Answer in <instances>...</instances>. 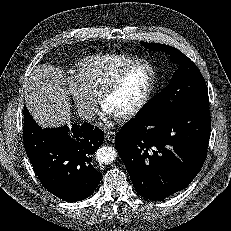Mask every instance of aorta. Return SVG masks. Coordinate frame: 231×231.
Masks as SVG:
<instances>
[{"label": "aorta", "instance_id": "obj_1", "mask_svg": "<svg viewBox=\"0 0 231 231\" xmlns=\"http://www.w3.org/2000/svg\"><path fill=\"white\" fill-rule=\"evenodd\" d=\"M117 157V152L113 147L103 146L96 151V159L99 163L110 164Z\"/></svg>", "mask_w": 231, "mask_h": 231}]
</instances>
